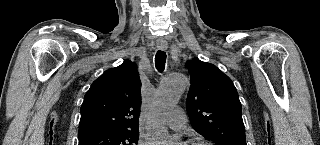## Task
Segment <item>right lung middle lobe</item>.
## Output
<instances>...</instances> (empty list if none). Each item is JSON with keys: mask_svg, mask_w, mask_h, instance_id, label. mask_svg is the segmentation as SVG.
<instances>
[{"mask_svg": "<svg viewBox=\"0 0 320 145\" xmlns=\"http://www.w3.org/2000/svg\"><path fill=\"white\" fill-rule=\"evenodd\" d=\"M139 130L99 131L79 136V145H137Z\"/></svg>", "mask_w": 320, "mask_h": 145, "instance_id": "obj_1", "label": "right lung middle lobe"}]
</instances>
